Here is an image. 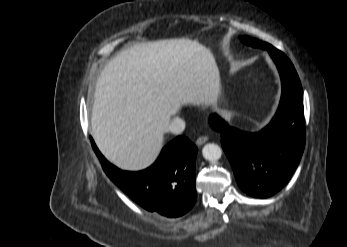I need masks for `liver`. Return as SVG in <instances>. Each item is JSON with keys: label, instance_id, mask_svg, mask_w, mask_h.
Returning a JSON list of instances; mask_svg holds the SVG:
<instances>
[{"label": "liver", "instance_id": "liver-1", "mask_svg": "<svg viewBox=\"0 0 347 247\" xmlns=\"http://www.w3.org/2000/svg\"><path fill=\"white\" fill-rule=\"evenodd\" d=\"M222 85L213 54L198 41L165 39L120 51L101 71L91 134L101 153L123 170L149 167L158 157L171 116L186 104L221 116Z\"/></svg>", "mask_w": 347, "mask_h": 247}]
</instances>
